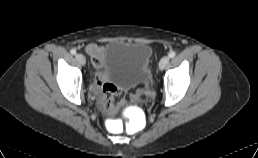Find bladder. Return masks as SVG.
<instances>
[{"instance_id": "1", "label": "bladder", "mask_w": 258, "mask_h": 158, "mask_svg": "<svg viewBox=\"0 0 258 158\" xmlns=\"http://www.w3.org/2000/svg\"><path fill=\"white\" fill-rule=\"evenodd\" d=\"M152 47L144 42L112 41L106 44L100 74L115 85L131 90L151 82Z\"/></svg>"}]
</instances>
